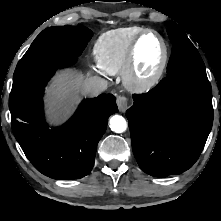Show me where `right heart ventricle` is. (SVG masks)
<instances>
[{"label": "right heart ventricle", "instance_id": "obj_1", "mask_svg": "<svg viewBox=\"0 0 221 221\" xmlns=\"http://www.w3.org/2000/svg\"><path fill=\"white\" fill-rule=\"evenodd\" d=\"M143 30L141 26H127L101 34L94 45L98 67L110 75L123 72L130 45Z\"/></svg>", "mask_w": 221, "mask_h": 221}]
</instances>
